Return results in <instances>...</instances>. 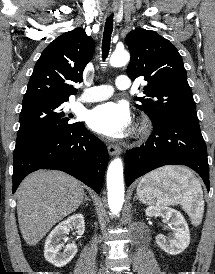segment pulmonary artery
<instances>
[{"label": "pulmonary artery", "mask_w": 215, "mask_h": 274, "mask_svg": "<svg viewBox=\"0 0 215 274\" xmlns=\"http://www.w3.org/2000/svg\"><path fill=\"white\" fill-rule=\"evenodd\" d=\"M115 85L120 90L128 89L131 85L130 79L126 75H119L116 78ZM113 87L110 85H99L85 89L80 97L81 102H98L109 98L113 94Z\"/></svg>", "instance_id": "e3ab8cb5"}]
</instances>
